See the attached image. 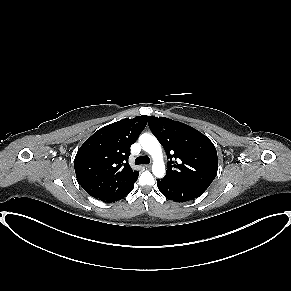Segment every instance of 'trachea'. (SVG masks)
<instances>
[{"label":"trachea","instance_id":"obj_1","mask_svg":"<svg viewBox=\"0 0 291 291\" xmlns=\"http://www.w3.org/2000/svg\"><path fill=\"white\" fill-rule=\"evenodd\" d=\"M150 163V158L148 156H139L135 159V164H149Z\"/></svg>","mask_w":291,"mask_h":291}]
</instances>
